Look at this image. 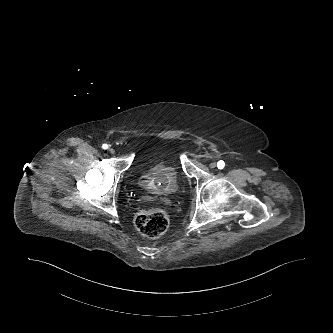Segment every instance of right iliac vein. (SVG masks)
I'll return each instance as SVG.
<instances>
[{"mask_svg": "<svg viewBox=\"0 0 333 333\" xmlns=\"http://www.w3.org/2000/svg\"><path fill=\"white\" fill-rule=\"evenodd\" d=\"M109 152H110L111 154H114V153H115V150H114L113 148H110V149H109Z\"/></svg>", "mask_w": 333, "mask_h": 333, "instance_id": "63e3f726", "label": "right iliac vein"}]
</instances>
